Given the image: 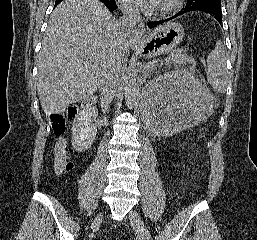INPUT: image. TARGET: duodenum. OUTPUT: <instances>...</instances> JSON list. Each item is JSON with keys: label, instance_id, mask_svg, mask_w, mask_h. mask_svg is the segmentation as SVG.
<instances>
[{"label": "duodenum", "instance_id": "410a0bca", "mask_svg": "<svg viewBox=\"0 0 257 240\" xmlns=\"http://www.w3.org/2000/svg\"><path fill=\"white\" fill-rule=\"evenodd\" d=\"M95 105V98L94 97H89L87 99H85L83 101V107L87 110V111H91L92 108Z\"/></svg>", "mask_w": 257, "mask_h": 240}]
</instances>
